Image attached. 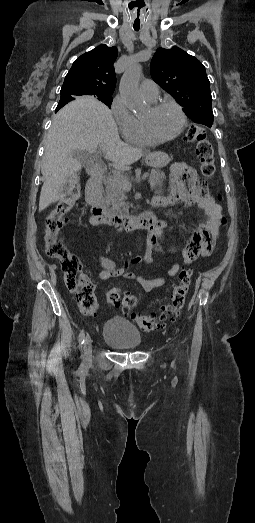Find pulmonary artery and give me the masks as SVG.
<instances>
[{"instance_id":"e3ab8cb5","label":"pulmonary artery","mask_w":255,"mask_h":523,"mask_svg":"<svg viewBox=\"0 0 255 523\" xmlns=\"http://www.w3.org/2000/svg\"><path fill=\"white\" fill-rule=\"evenodd\" d=\"M141 93L147 99H157L159 97V88L152 80L143 81L141 84Z\"/></svg>"}]
</instances>
